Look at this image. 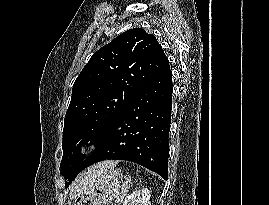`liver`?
<instances>
[{"label":"liver","mask_w":269,"mask_h":205,"mask_svg":"<svg viewBox=\"0 0 269 205\" xmlns=\"http://www.w3.org/2000/svg\"><path fill=\"white\" fill-rule=\"evenodd\" d=\"M115 166L116 163L113 161H104L90 167L87 171L79 175L75 183L71 186L70 198L75 199L77 196L85 194L91 188L97 176Z\"/></svg>","instance_id":"6515ba94"}]
</instances>
